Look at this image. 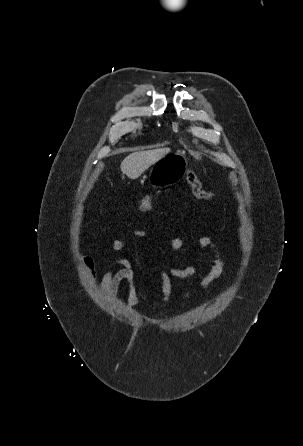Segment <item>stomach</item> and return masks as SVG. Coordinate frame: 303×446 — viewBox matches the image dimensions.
Here are the masks:
<instances>
[{
    "label": "stomach",
    "mask_w": 303,
    "mask_h": 446,
    "mask_svg": "<svg viewBox=\"0 0 303 446\" xmlns=\"http://www.w3.org/2000/svg\"><path fill=\"white\" fill-rule=\"evenodd\" d=\"M188 170V162L181 153L164 156L157 161L149 174V183L154 188H165L179 182Z\"/></svg>",
    "instance_id": "0dacf381"
}]
</instances>
